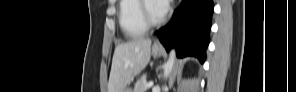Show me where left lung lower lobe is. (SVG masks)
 <instances>
[{
  "mask_svg": "<svg viewBox=\"0 0 296 92\" xmlns=\"http://www.w3.org/2000/svg\"><path fill=\"white\" fill-rule=\"evenodd\" d=\"M212 0H184L172 20L157 35L167 51L175 46L178 57L205 60L213 12Z\"/></svg>",
  "mask_w": 296,
  "mask_h": 92,
  "instance_id": "left-lung-lower-lobe-1",
  "label": "left lung lower lobe"
}]
</instances>
